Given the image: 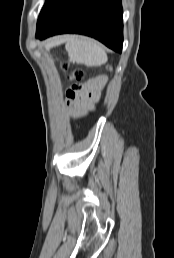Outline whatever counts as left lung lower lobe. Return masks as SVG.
Returning <instances> with one entry per match:
<instances>
[{
    "instance_id": "1",
    "label": "left lung lower lobe",
    "mask_w": 174,
    "mask_h": 258,
    "mask_svg": "<svg viewBox=\"0 0 174 258\" xmlns=\"http://www.w3.org/2000/svg\"><path fill=\"white\" fill-rule=\"evenodd\" d=\"M61 33L91 36L116 52H122L121 0H58L37 27L36 38Z\"/></svg>"
}]
</instances>
